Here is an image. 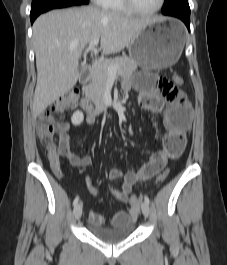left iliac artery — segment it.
Here are the masks:
<instances>
[{"instance_id":"obj_1","label":"left iliac artery","mask_w":227,"mask_h":265,"mask_svg":"<svg viewBox=\"0 0 227 265\" xmlns=\"http://www.w3.org/2000/svg\"><path fill=\"white\" fill-rule=\"evenodd\" d=\"M144 201H145L147 204H149V203H150L149 197L145 195V196H144Z\"/></svg>"}]
</instances>
